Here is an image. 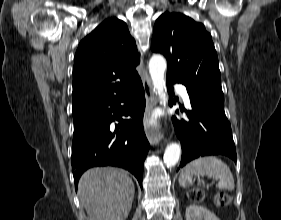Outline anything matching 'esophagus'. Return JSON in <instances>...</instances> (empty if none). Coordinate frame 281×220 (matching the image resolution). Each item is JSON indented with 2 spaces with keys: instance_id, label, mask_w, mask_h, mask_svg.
Returning <instances> with one entry per match:
<instances>
[{
  "instance_id": "34e87169",
  "label": "esophagus",
  "mask_w": 281,
  "mask_h": 220,
  "mask_svg": "<svg viewBox=\"0 0 281 220\" xmlns=\"http://www.w3.org/2000/svg\"><path fill=\"white\" fill-rule=\"evenodd\" d=\"M143 86L145 91V97H146V111L145 115L146 118L150 116V113L157 105V98L156 93L152 87L150 78L145 75L143 79ZM146 136L148 141L151 144H158L162 140V134L158 129L146 127Z\"/></svg>"
}]
</instances>
